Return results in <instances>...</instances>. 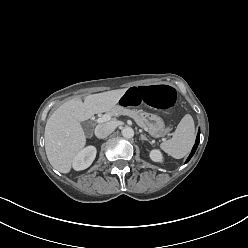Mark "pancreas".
I'll list each match as a JSON object with an SVG mask.
<instances>
[{
	"mask_svg": "<svg viewBox=\"0 0 248 248\" xmlns=\"http://www.w3.org/2000/svg\"><path fill=\"white\" fill-rule=\"evenodd\" d=\"M108 114L111 116H118V115L129 116L133 118L140 127L146 128L145 120L138 111L130 110L121 106H115L108 111Z\"/></svg>",
	"mask_w": 248,
	"mask_h": 248,
	"instance_id": "1",
	"label": "pancreas"
}]
</instances>
